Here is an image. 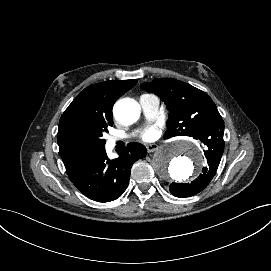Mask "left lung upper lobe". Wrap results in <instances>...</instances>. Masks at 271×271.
Wrapping results in <instances>:
<instances>
[{
	"label": "left lung upper lobe",
	"mask_w": 271,
	"mask_h": 271,
	"mask_svg": "<svg viewBox=\"0 0 271 271\" xmlns=\"http://www.w3.org/2000/svg\"><path fill=\"white\" fill-rule=\"evenodd\" d=\"M141 87L158 95L170 111L164 138L185 135L224 147V121L205 92L171 78H156Z\"/></svg>",
	"instance_id": "obj_1"
}]
</instances>
